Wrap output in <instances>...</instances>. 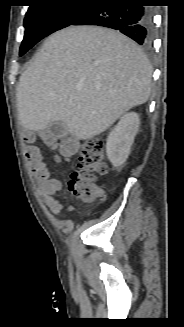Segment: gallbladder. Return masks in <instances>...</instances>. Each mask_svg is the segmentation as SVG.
<instances>
[{
    "label": "gallbladder",
    "mask_w": 184,
    "mask_h": 327,
    "mask_svg": "<svg viewBox=\"0 0 184 327\" xmlns=\"http://www.w3.org/2000/svg\"><path fill=\"white\" fill-rule=\"evenodd\" d=\"M47 132L54 137L60 138L67 135L68 128L62 122H54L48 127Z\"/></svg>",
    "instance_id": "1"
}]
</instances>
